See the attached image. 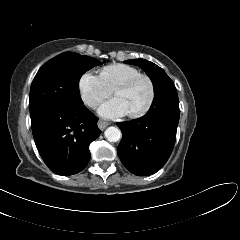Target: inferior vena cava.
<instances>
[{"instance_id":"1","label":"inferior vena cava","mask_w":240,"mask_h":240,"mask_svg":"<svg viewBox=\"0 0 240 240\" xmlns=\"http://www.w3.org/2000/svg\"><path fill=\"white\" fill-rule=\"evenodd\" d=\"M98 105V102L97 101H93L92 102V106L96 107Z\"/></svg>"}]
</instances>
